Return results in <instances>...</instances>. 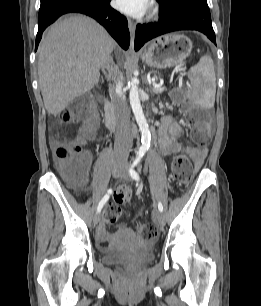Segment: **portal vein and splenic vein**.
<instances>
[{
  "mask_svg": "<svg viewBox=\"0 0 261 306\" xmlns=\"http://www.w3.org/2000/svg\"><path fill=\"white\" fill-rule=\"evenodd\" d=\"M152 85H153L154 87H160V84H156V83H155V80H152Z\"/></svg>",
  "mask_w": 261,
  "mask_h": 306,
  "instance_id": "obj_1",
  "label": "portal vein and splenic vein"
}]
</instances>
